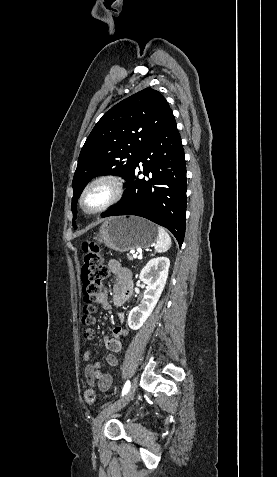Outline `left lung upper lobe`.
Wrapping results in <instances>:
<instances>
[{"label":"left lung upper lobe","mask_w":277,"mask_h":477,"mask_svg":"<svg viewBox=\"0 0 277 477\" xmlns=\"http://www.w3.org/2000/svg\"><path fill=\"white\" fill-rule=\"evenodd\" d=\"M172 118L166 99L152 88L122 100L101 117L82 147L73 177L74 228L76 203L86 184L106 174L127 180L141 150Z\"/></svg>","instance_id":"obj_1"}]
</instances>
